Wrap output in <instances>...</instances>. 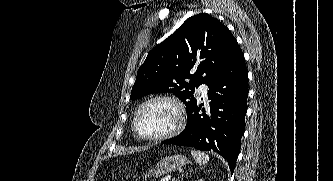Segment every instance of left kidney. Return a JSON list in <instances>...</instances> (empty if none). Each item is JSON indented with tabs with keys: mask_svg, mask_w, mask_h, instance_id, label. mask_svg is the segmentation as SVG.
<instances>
[{
	"mask_svg": "<svg viewBox=\"0 0 333 181\" xmlns=\"http://www.w3.org/2000/svg\"><path fill=\"white\" fill-rule=\"evenodd\" d=\"M197 181H203L202 179H199V180H197Z\"/></svg>",
	"mask_w": 333,
	"mask_h": 181,
	"instance_id": "5707ae66",
	"label": "left kidney"
}]
</instances>
